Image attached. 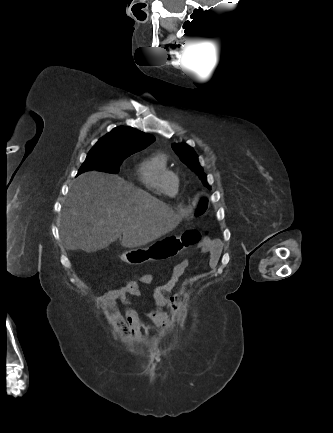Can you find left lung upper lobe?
<instances>
[{
    "instance_id": "1",
    "label": "left lung upper lobe",
    "mask_w": 333,
    "mask_h": 433,
    "mask_svg": "<svg viewBox=\"0 0 333 433\" xmlns=\"http://www.w3.org/2000/svg\"><path fill=\"white\" fill-rule=\"evenodd\" d=\"M173 150L179 156L181 161H183L193 172H195L202 180V182L207 185L206 175L198 162V157L195 151L187 144H173Z\"/></svg>"
}]
</instances>
